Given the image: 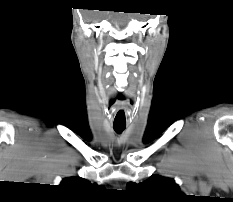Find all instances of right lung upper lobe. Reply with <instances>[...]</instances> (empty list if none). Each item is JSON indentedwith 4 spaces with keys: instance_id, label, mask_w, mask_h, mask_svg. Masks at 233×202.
<instances>
[{
    "instance_id": "right-lung-upper-lobe-1",
    "label": "right lung upper lobe",
    "mask_w": 233,
    "mask_h": 202,
    "mask_svg": "<svg viewBox=\"0 0 233 202\" xmlns=\"http://www.w3.org/2000/svg\"><path fill=\"white\" fill-rule=\"evenodd\" d=\"M61 186L67 187H89L92 186L91 183L83 178L80 177H71L66 178L62 181Z\"/></svg>"
}]
</instances>
